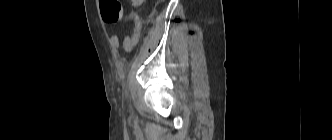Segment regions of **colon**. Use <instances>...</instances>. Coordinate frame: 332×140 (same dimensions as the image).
<instances>
[{"mask_svg": "<svg viewBox=\"0 0 332 140\" xmlns=\"http://www.w3.org/2000/svg\"><path fill=\"white\" fill-rule=\"evenodd\" d=\"M103 20L108 24H115L122 19L123 8L119 0H100Z\"/></svg>", "mask_w": 332, "mask_h": 140, "instance_id": "1", "label": "colon"}]
</instances>
